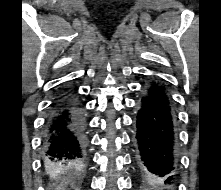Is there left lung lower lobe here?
Returning <instances> with one entry per match:
<instances>
[{
  "mask_svg": "<svg viewBox=\"0 0 221 190\" xmlns=\"http://www.w3.org/2000/svg\"><path fill=\"white\" fill-rule=\"evenodd\" d=\"M174 112L165 89L152 81L145 89L136 117L137 163L148 175L173 182L177 163Z\"/></svg>",
  "mask_w": 221,
  "mask_h": 190,
  "instance_id": "1",
  "label": "left lung lower lobe"
}]
</instances>
